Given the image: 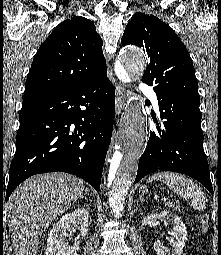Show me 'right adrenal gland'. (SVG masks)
I'll list each match as a JSON object with an SVG mask.
<instances>
[{
	"mask_svg": "<svg viewBox=\"0 0 221 255\" xmlns=\"http://www.w3.org/2000/svg\"><path fill=\"white\" fill-rule=\"evenodd\" d=\"M84 196H89L87 189H85L84 194L80 197V200H82L84 198Z\"/></svg>",
	"mask_w": 221,
	"mask_h": 255,
	"instance_id": "obj_1",
	"label": "right adrenal gland"
}]
</instances>
